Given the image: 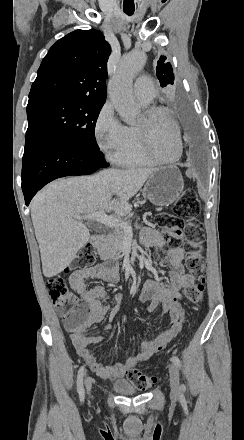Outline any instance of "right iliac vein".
<instances>
[{
    "instance_id": "63e3f726",
    "label": "right iliac vein",
    "mask_w": 244,
    "mask_h": 440,
    "mask_svg": "<svg viewBox=\"0 0 244 440\" xmlns=\"http://www.w3.org/2000/svg\"><path fill=\"white\" fill-rule=\"evenodd\" d=\"M85 386H86L87 394H89L92 386V380L89 376L85 378Z\"/></svg>"
}]
</instances>
